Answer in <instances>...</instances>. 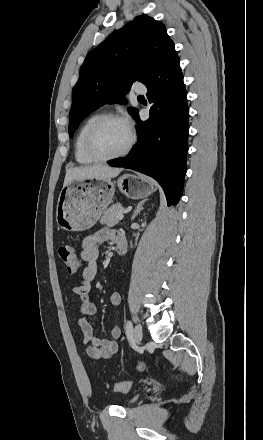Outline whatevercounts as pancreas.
<instances>
[{
    "instance_id": "1",
    "label": "pancreas",
    "mask_w": 263,
    "mask_h": 440,
    "mask_svg": "<svg viewBox=\"0 0 263 440\" xmlns=\"http://www.w3.org/2000/svg\"><path fill=\"white\" fill-rule=\"evenodd\" d=\"M123 211V207L120 203L113 204L110 208L106 209L100 219L102 225L114 226L118 224L119 219L117 214Z\"/></svg>"
}]
</instances>
